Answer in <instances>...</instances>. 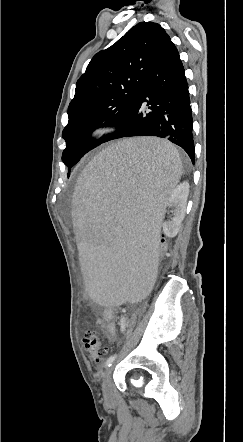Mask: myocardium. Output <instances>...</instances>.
<instances>
[{
  "mask_svg": "<svg viewBox=\"0 0 243 442\" xmlns=\"http://www.w3.org/2000/svg\"><path fill=\"white\" fill-rule=\"evenodd\" d=\"M112 132V127L109 124H97L93 126L87 133V136L92 141L100 140Z\"/></svg>",
  "mask_w": 243,
  "mask_h": 442,
  "instance_id": "f54148a6",
  "label": "myocardium"
}]
</instances>
